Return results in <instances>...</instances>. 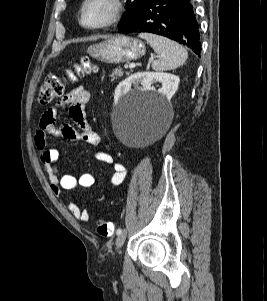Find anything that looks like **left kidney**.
Listing matches in <instances>:
<instances>
[{
	"mask_svg": "<svg viewBox=\"0 0 267 301\" xmlns=\"http://www.w3.org/2000/svg\"><path fill=\"white\" fill-rule=\"evenodd\" d=\"M156 82L162 84V87L158 89V93L169 101L177 91L180 79L176 75L163 72L135 73L119 83L115 89L114 101L118 102L120 98L128 94L132 84L140 83L142 91H150L153 90L152 84Z\"/></svg>",
	"mask_w": 267,
	"mask_h": 301,
	"instance_id": "1",
	"label": "left kidney"
}]
</instances>
